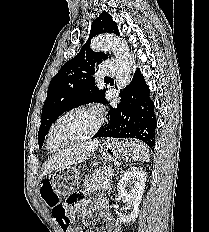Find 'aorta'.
Returning a JSON list of instances; mask_svg holds the SVG:
<instances>
[{
  "instance_id": "1",
  "label": "aorta",
  "mask_w": 209,
  "mask_h": 232,
  "mask_svg": "<svg viewBox=\"0 0 209 232\" xmlns=\"http://www.w3.org/2000/svg\"><path fill=\"white\" fill-rule=\"evenodd\" d=\"M91 48L94 51L111 50L114 53L117 68L115 80L117 88H125L132 73V55L128 45L118 37L102 34L91 41Z\"/></svg>"
}]
</instances>
